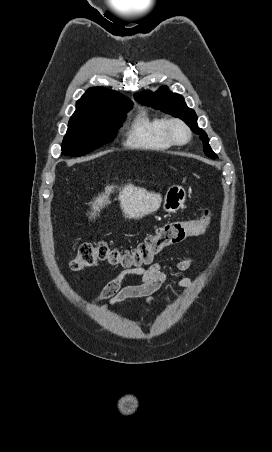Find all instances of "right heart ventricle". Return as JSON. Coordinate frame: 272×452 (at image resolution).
Wrapping results in <instances>:
<instances>
[{"label":"right heart ventricle","mask_w":272,"mask_h":452,"mask_svg":"<svg viewBox=\"0 0 272 452\" xmlns=\"http://www.w3.org/2000/svg\"><path fill=\"white\" fill-rule=\"evenodd\" d=\"M167 117L141 110L130 123L125 143L128 147L140 150L163 151L171 148L166 124Z\"/></svg>","instance_id":"obj_1"}]
</instances>
